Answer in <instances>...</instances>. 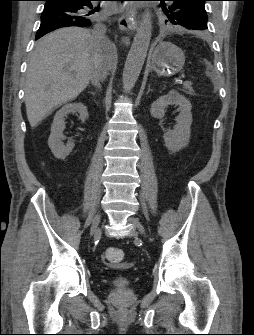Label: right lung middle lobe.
<instances>
[{"instance_id":"1","label":"right lung middle lobe","mask_w":254,"mask_h":335,"mask_svg":"<svg viewBox=\"0 0 254 335\" xmlns=\"http://www.w3.org/2000/svg\"><path fill=\"white\" fill-rule=\"evenodd\" d=\"M99 9H100V7L95 8V12H94L95 14L92 15V18H96L97 17L98 14L96 12H98Z\"/></svg>"}]
</instances>
